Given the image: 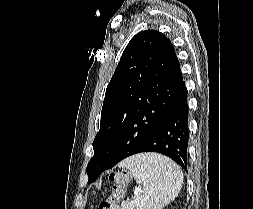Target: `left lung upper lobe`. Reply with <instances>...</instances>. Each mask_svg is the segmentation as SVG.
Segmentation results:
<instances>
[{"instance_id": "5c2ea615", "label": "left lung upper lobe", "mask_w": 253, "mask_h": 209, "mask_svg": "<svg viewBox=\"0 0 253 209\" xmlns=\"http://www.w3.org/2000/svg\"><path fill=\"white\" fill-rule=\"evenodd\" d=\"M181 82L179 60L164 34L147 30L130 40L106 89L88 183L141 148L168 114Z\"/></svg>"}]
</instances>
